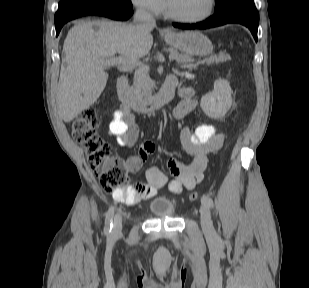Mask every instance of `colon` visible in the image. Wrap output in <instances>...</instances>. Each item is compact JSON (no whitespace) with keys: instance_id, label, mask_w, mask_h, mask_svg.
<instances>
[{"instance_id":"5ec220e1","label":"colon","mask_w":309,"mask_h":288,"mask_svg":"<svg viewBox=\"0 0 309 288\" xmlns=\"http://www.w3.org/2000/svg\"><path fill=\"white\" fill-rule=\"evenodd\" d=\"M100 125L98 111L94 107L82 110L72 121L71 135L87 155V163L99 179L106 192H123L128 187V170L121 159L114 156L111 146L98 134ZM200 194H189L191 201H197Z\"/></svg>"}]
</instances>
